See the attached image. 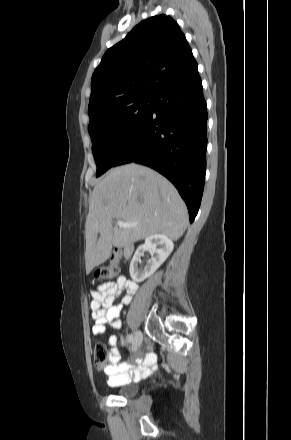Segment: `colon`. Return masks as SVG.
<instances>
[{
	"instance_id": "1",
	"label": "colon",
	"mask_w": 291,
	"mask_h": 440,
	"mask_svg": "<svg viewBox=\"0 0 291 440\" xmlns=\"http://www.w3.org/2000/svg\"><path fill=\"white\" fill-rule=\"evenodd\" d=\"M120 256L116 255L113 262L106 267L99 269L94 275V281L111 280L116 277L119 271ZM92 358L95 366L104 369L109 362V351L105 344L96 343L93 346Z\"/></svg>"
}]
</instances>
